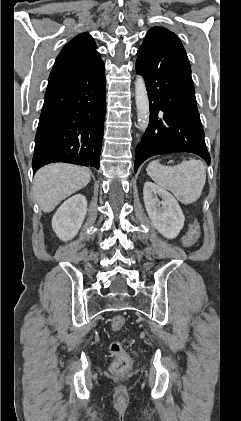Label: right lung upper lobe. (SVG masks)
Here are the masks:
<instances>
[{
    "label": "right lung upper lobe",
    "instance_id": "right-lung-upper-lobe-1",
    "mask_svg": "<svg viewBox=\"0 0 241 421\" xmlns=\"http://www.w3.org/2000/svg\"><path fill=\"white\" fill-rule=\"evenodd\" d=\"M97 47L88 33H82L68 42L58 55L49 78L65 71L87 65L100 58Z\"/></svg>",
    "mask_w": 241,
    "mask_h": 421
}]
</instances>
